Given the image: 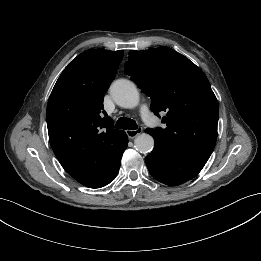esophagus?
Wrapping results in <instances>:
<instances>
[{
  "label": "esophagus",
  "instance_id": "34e87169",
  "mask_svg": "<svg viewBox=\"0 0 261 261\" xmlns=\"http://www.w3.org/2000/svg\"><path fill=\"white\" fill-rule=\"evenodd\" d=\"M142 133V128L138 127L135 130H126V134L130 139L135 138L136 136L140 135Z\"/></svg>",
  "mask_w": 261,
  "mask_h": 261
}]
</instances>
